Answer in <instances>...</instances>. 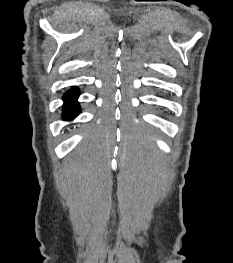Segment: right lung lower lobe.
Instances as JSON below:
<instances>
[{"label":"right lung lower lobe","mask_w":233,"mask_h":263,"mask_svg":"<svg viewBox=\"0 0 233 263\" xmlns=\"http://www.w3.org/2000/svg\"><path fill=\"white\" fill-rule=\"evenodd\" d=\"M79 91L75 87L63 96V119L71 120L79 114V103L77 102Z\"/></svg>","instance_id":"right-lung-lower-lobe-1"}]
</instances>
